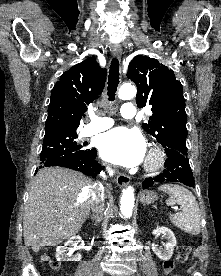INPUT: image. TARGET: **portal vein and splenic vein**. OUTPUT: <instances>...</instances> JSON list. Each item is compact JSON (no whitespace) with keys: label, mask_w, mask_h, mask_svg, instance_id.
<instances>
[{"label":"portal vein and splenic vein","mask_w":221,"mask_h":276,"mask_svg":"<svg viewBox=\"0 0 221 276\" xmlns=\"http://www.w3.org/2000/svg\"><path fill=\"white\" fill-rule=\"evenodd\" d=\"M175 210H177L178 208L177 207H174Z\"/></svg>","instance_id":"obj_1"}]
</instances>
